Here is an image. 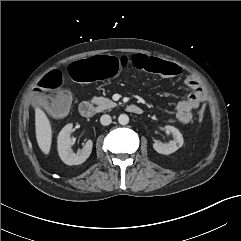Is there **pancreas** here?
I'll use <instances>...</instances> for the list:
<instances>
[{
    "label": "pancreas",
    "instance_id": "1",
    "mask_svg": "<svg viewBox=\"0 0 241 241\" xmlns=\"http://www.w3.org/2000/svg\"><path fill=\"white\" fill-rule=\"evenodd\" d=\"M91 102L97 105L96 109L98 112H102L104 110L111 109L117 106L115 102L105 97H93Z\"/></svg>",
    "mask_w": 241,
    "mask_h": 241
}]
</instances>
